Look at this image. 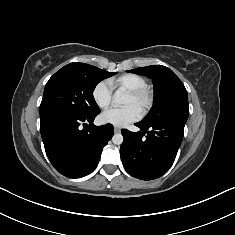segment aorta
<instances>
[{
  "label": "aorta",
  "mask_w": 235,
  "mask_h": 235,
  "mask_svg": "<svg viewBox=\"0 0 235 235\" xmlns=\"http://www.w3.org/2000/svg\"><path fill=\"white\" fill-rule=\"evenodd\" d=\"M125 101H126V97L121 91L118 90L114 93L112 102L115 105H122L125 103ZM112 142L116 145L122 144V142H123L122 134H120V133L114 134L112 137Z\"/></svg>",
  "instance_id": "aorta-1"
}]
</instances>
